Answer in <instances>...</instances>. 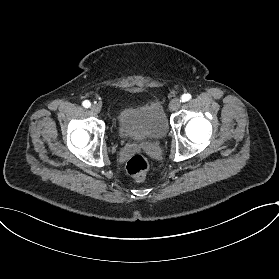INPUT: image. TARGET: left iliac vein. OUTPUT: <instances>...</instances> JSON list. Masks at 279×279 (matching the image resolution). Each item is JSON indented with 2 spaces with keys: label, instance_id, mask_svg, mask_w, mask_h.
Returning a JSON list of instances; mask_svg holds the SVG:
<instances>
[{
  "label": "left iliac vein",
  "instance_id": "4c4485c4",
  "mask_svg": "<svg viewBox=\"0 0 279 279\" xmlns=\"http://www.w3.org/2000/svg\"><path fill=\"white\" fill-rule=\"evenodd\" d=\"M180 105H181V100L178 98H174L169 103V109L171 111H176L179 109Z\"/></svg>",
  "mask_w": 279,
  "mask_h": 279
}]
</instances>
